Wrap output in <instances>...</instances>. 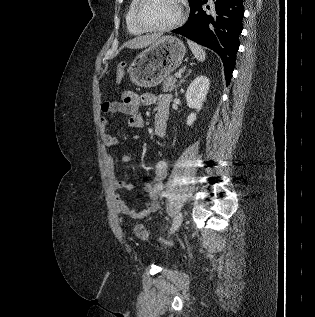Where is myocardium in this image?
<instances>
[{"mask_svg":"<svg viewBox=\"0 0 315 317\" xmlns=\"http://www.w3.org/2000/svg\"><path fill=\"white\" fill-rule=\"evenodd\" d=\"M146 0H137L133 10L134 24L143 32H166L179 27L185 20L186 10L183 0H177L179 6V14L175 21L165 26H147L140 20V9Z\"/></svg>","mask_w":315,"mask_h":317,"instance_id":"f54148a6","label":"myocardium"}]
</instances>
